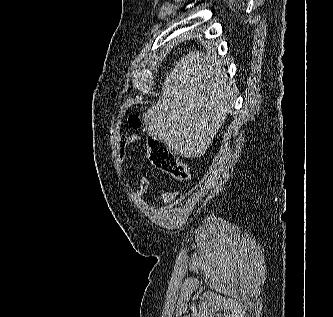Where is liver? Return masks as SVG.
I'll use <instances>...</instances> for the list:
<instances>
[{"label": "liver", "mask_w": 333, "mask_h": 317, "mask_svg": "<svg viewBox=\"0 0 333 317\" xmlns=\"http://www.w3.org/2000/svg\"><path fill=\"white\" fill-rule=\"evenodd\" d=\"M236 92L215 48L191 51L166 76L161 99L143 119L168 150L198 158L225 122Z\"/></svg>", "instance_id": "liver-1"}]
</instances>
